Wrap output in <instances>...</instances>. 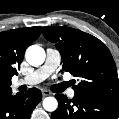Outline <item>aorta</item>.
Instances as JSON below:
<instances>
[{"label":"aorta","instance_id":"762f6f07","mask_svg":"<svg viewBox=\"0 0 119 119\" xmlns=\"http://www.w3.org/2000/svg\"><path fill=\"white\" fill-rule=\"evenodd\" d=\"M45 51L38 45L29 46L26 50L25 57L27 62L32 66H39L45 60ZM58 107V102L54 97H46L43 100V108L46 111H55Z\"/></svg>","mask_w":119,"mask_h":119}]
</instances>
